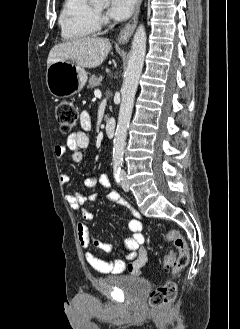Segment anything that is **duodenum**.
Returning <instances> with one entry per match:
<instances>
[{
    "label": "duodenum",
    "instance_id": "1",
    "mask_svg": "<svg viewBox=\"0 0 240 329\" xmlns=\"http://www.w3.org/2000/svg\"><path fill=\"white\" fill-rule=\"evenodd\" d=\"M116 124L113 118H108L105 123V133L107 137L112 138L115 134Z\"/></svg>",
    "mask_w": 240,
    "mask_h": 329
}]
</instances>
